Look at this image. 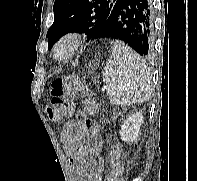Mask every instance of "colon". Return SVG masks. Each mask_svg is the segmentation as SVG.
<instances>
[{
  "label": "colon",
  "mask_w": 197,
  "mask_h": 181,
  "mask_svg": "<svg viewBox=\"0 0 197 181\" xmlns=\"http://www.w3.org/2000/svg\"><path fill=\"white\" fill-rule=\"evenodd\" d=\"M77 96H80L85 109L89 113L96 111V103L91 99L89 92L74 77L65 79H56L53 81L50 89V103L46 108L49 118L53 121H60L73 112V102ZM119 151L114 149L110 153L112 169L106 177V181H121V167L115 163Z\"/></svg>",
  "instance_id": "1"
}]
</instances>
